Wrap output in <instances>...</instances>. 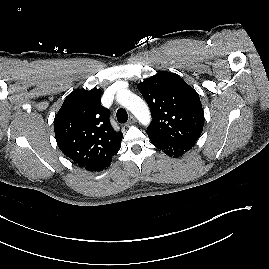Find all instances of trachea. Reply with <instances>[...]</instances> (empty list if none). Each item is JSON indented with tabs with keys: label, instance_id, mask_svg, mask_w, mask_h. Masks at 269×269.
Returning a JSON list of instances; mask_svg holds the SVG:
<instances>
[{
	"label": "trachea",
	"instance_id": "3493384b",
	"mask_svg": "<svg viewBox=\"0 0 269 269\" xmlns=\"http://www.w3.org/2000/svg\"><path fill=\"white\" fill-rule=\"evenodd\" d=\"M116 116L119 123H125L128 120V114L123 108L117 110Z\"/></svg>",
	"mask_w": 269,
	"mask_h": 269
}]
</instances>
